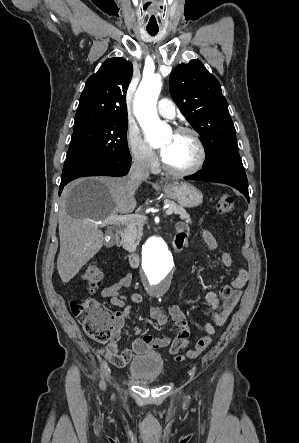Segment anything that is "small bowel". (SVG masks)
<instances>
[{
	"instance_id": "c3829d8e",
	"label": "small bowel",
	"mask_w": 299,
	"mask_h": 443,
	"mask_svg": "<svg viewBox=\"0 0 299 443\" xmlns=\"http://www.w3.org/2000/svg\"><path fill=\"white\" fill-rule=\"evenodd\" d=\"M188 237L189 227L187 223L183 221L178 222L176 224L175 239L185 242L186 245ZM202 238L209 249H217L218 244L216 238L210 230H204L202 232ZM221 262L225 267H231L233 264V258L230 253L222 252ZM248 279L249 274L247 270L240 268L231 283L221 287L219 294L213 291L206 293L205 299L212 308V321L205 324V331L208 334L215 333V326L225 325L228 317L238 304L241 297V289L246 285ZM132 281L133 276L128 273L123 275L118 281L106 286L101 291V296L109 299L113 306L123 308L121 312L116 313L117 322L115 334L106 348L109 359L117 366H124L130 362L133 353H143L148 350L168 347L170 354H176L180 350L185 349L190 341V331L183 308L190 304L191 300L184 298L182 304H175L169 307V316L178 327V332L175 335L154 337L138 331V337L132 340L131 349L120 351L119 340L122 335V330L129 319L131 308L134 305H139L143 301V297L140 293H132L129 298L123 294V291L132 284ZM150 317L162 328H165L168 324V316L158 306L151 309Z\"/></svg>"
}]
</instances>
